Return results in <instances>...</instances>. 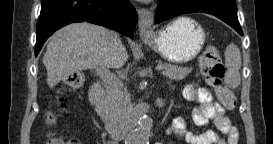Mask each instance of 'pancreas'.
Listing matches in <instances>:
<instances>
[{
    "label": "pancreas",
    "instance_id": "pancreas-1",
    "mask_svg": "<svg viewBox=\"0 0 273 144\" xmlns=\"http://www.w3.org/2000/svg\"><path fill=\"white\" fill-rule=\"evenodd\" d=\"M160 65L163 66L162 74L171 80H182L192 71V68L180 67L170 63ZM131 109L130 99L124 86H110L106 89V100L101 117L107 125L121 123Z\"/></svg>",
    "mask_w": 273,
    "mask_h": 144
}]
</instances>
